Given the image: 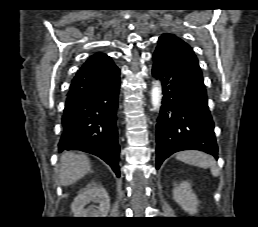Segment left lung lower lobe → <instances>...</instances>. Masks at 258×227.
<instances>
[{"mask_svg": "<svg viewBox=\"0 0 258 227\" xmlns=\"http://www.w3.org/2000/svg\"><path fill=\"white\" fill-rule=\"evenodd\" d=\"M152 74L163 89L156 125V168L181 150H201L217 158L214 123L198 63L168 46L158 45Z\"/></svg>", "mask_w": 258, "mask_h": 227, "instance_id": "0a47b994", "label": "left lung lower lobe"}]
</instances>
